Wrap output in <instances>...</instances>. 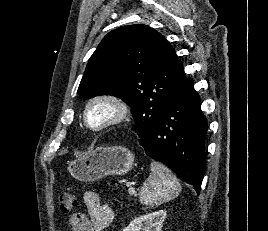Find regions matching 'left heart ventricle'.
<instances>
[{
  "label": "left heart ventricle",
  "mask_w": 268,
  "mask_h": 231,
  "mask_svg": "<svg viewBox=\"0 0 268 231\" xmlns=\"http://www.w3.org/2000/svg\"><path fill=\"white\" fill-rule=\"evenodd\" d=\"M113 115V107L107 103H97L90 107L88 120L92 125L107 121Z\"/></svg>",
  "instance_id": "1"
}]
</instances>
